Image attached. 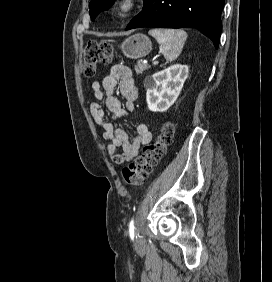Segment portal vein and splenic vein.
I'll return each instance as SVG.
<instances>
[{"instance_id": "portal-vein-and-splenic-vein-1", "label": "portal vein and splenic vein", "mask_w": 272, "mask_h": 282, "mask_svg": "<svg viewBox=\"0 0 272 282\" xmlns=\"http://www.w3.org/2000/svg\"><path fill=\"white\" fill-rule=\"evenodd\" d=\"M153 64H154V65H157V64H158V61H157V60H154V61H153Z\"/></svg>"}]
</instances>
